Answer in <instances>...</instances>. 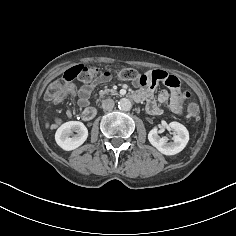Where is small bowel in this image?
Returning a JSON list of instances; mask_svg holds the SVG:
<instances>
[{"instance_id": "1", "label": "small bowel", "mask_w": 236, "mask_h": 236, "mask_svg": "<svg viewBox=\"0 0 236 236\" xmlns=\"http://www.w3.org/2000/svg\"><path fill=\"white\" fill-rule=\"evenodd\" d=\"M169 76L162 70H151L145 74L140 75L135 83L141 87L138 91L132 94V98L140 101L146 102L147 110L154 115L162 114L164 107H167L170 112L177 114L181 108V98L179 97L180 88L177 84L176 86H169L171 89V94L167 90H162L157 97L154 98V88L157 82L165 83ZM107 80L106 76H100L93 80L92 82L81 86L78 90L74 87H67L62 91L61 97L66 96H76L80 106H84L88 103L89 96L93 88L99 84L104 83ZM67 115H71V111L67 110ZM58 120L55 119L49 122L50 127L56 126Z\"/></svg>"}]
</instances>
